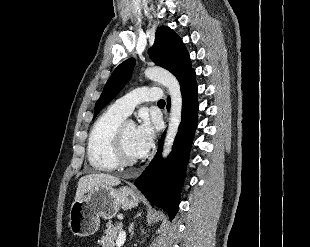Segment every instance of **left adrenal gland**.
Segmentation results:
<instances>
[{
  "mask_svg": "<svg viewBox=\"0 0 310 247\" xmlns=\"http://www.w3.org/2000/svg\"><path fill=\"white\" fill-rule=\"evenodd\" d=\"M129 232H130V236H131V238L133 237V235H134V231H133V223L132 224H130V226H129Z\"/></svg>",
  "mask_w": 310,
  "mask_h": 247,
  "instance_id": "a2214340",
  "label": "left adrenal gland"
}]
</instances>
